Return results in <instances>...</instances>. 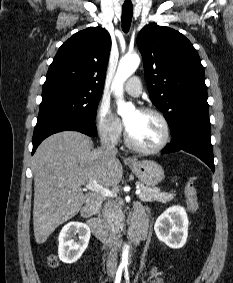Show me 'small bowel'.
Instances as JSON below:
<instances>
[{"instance_id": "obj_1", "label": "small bowel", "mask_w": 233, "mask_h": 283, "mask_svg": "<svg viewBox=\"0 0 233 283\" xmlns=\"http://www.w3.org/2000/svg\"><path fill=\"white\" fill-rule=\"evenodd\" d=\"M140 217L142 221H145L147 223V218L144 212L141 209H137L133 218V224H135L138 220H140ZM152 275H153V280L151 283H164L163 279L160 277V274L156 269L152 271Z\"/></svg>"}]
</instances>
